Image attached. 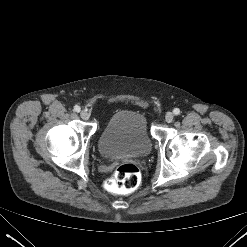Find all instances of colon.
Masks as SVG:
<instances>
[{
	"mask_svg": "<svg viewBox=\"0 0 247 247\" xmlns=\"http://www.w3.org/2000/svg\"><path fill=\"white\" fill-rule=\"evenodd\" d=\"M141 182L139 168L132 163L119 165L111 178L106 181V188L113 192L129 193L134 191Z\"/></svg>",
	"mask_w": 247,
	"mask_h": 247,
	"instance_id": "colon-1",
	"label": "colon"
}]
</instances>
